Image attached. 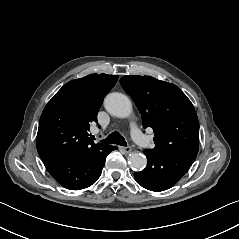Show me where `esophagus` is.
Returning a JSON list of instances; mask_svg holds the SVG:
<instances>
[{
    "label": "esophagus",
    "mask_w": 239,
    "mask_h": 239,
    "mask_svg": "<svg viewBox=\"0 0 239 239\" xmlns=\"http://www.w3.org/2000/svg\"><path fill=\"white\" fill-rule=\"evenodd\" d=\"M123 150L125 153H130L132 151V147L131 146L123 147Z\"/></svg>",
    "instance_id": "esophagus-1"
}]
</instances>
